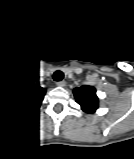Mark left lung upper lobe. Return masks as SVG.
<instances>
[{
	"mask_svg": "<svg viewBox=\"0 0 134 159\" xmlns=\"http://www.w3.org/2000/svg\"><path fill=\"white\" fill-rule=\"evenodd\" d=\"M74 96L77 100V103L85 112L93 113L98 108L99 101L94 87L84 85L80 88H75Z\"/></svg>",
	"mask_w": 134,
	"mask_h": 159,
	"instance_id": "5c2ea615",
	"label": "left lung upper lobe"
}]
</instances>
